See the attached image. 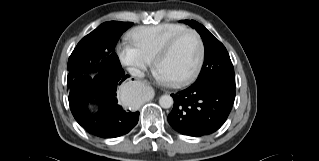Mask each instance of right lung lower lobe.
Wrapping results in <instances>:
<instances>
[{
  "mask_svg": "<svg viewBox=\"0 0 319 161\" xmlns=\"http://www.w3.org/2000/svg\"><path fill=\"white\" fill-rule=\"evenodd\" d=\"M69 92L70 110L75 120L90 134L114 138L127 134L138 122L139 112L124 110L118 103L117 87L129 76L124 75L120 62L97 75L87 76ZM98 105L96 113L88 105Z\"/></svg>",
  "mask_w": 319,
  "mask_h": 161,
  "instance_id": "1",
  "label": "right lung lower lobe"
}]
</instances>
